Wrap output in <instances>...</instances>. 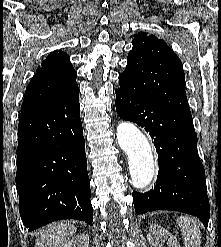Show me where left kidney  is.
<instances>
[{
	"label": "left kidney",
	"instance_id": "5707ae66",
	"mask_svg": "<svg viewBox=\"0 0 221 247\" xmlns=\"http://www.w3.org/2000/svg\"><path fill=\"white\" fill-rule=\"evenodd\" d=\"M164 238L167 240L169 247H180V244L175 236H173L168 230L153 224L150 226V232L148 234V241L151 247L160 246L159 239ZM161 247V246H160Z\"/></svg>",
	"mask_w": 221,
	"mask_h": 247
}]
</instances>
